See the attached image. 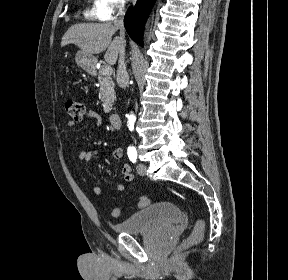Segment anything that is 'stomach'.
Instances as JSON below:
<instances>
[{
	"label": "stomach",
	"instance_id": "stomach-1",
	"mask_svg": "<svg viewBox=\"0 0 288 280\" xmlns=\"http://www.w3.org/2000/svg\"><path fill=\"white\" fill-rule=\"evenodd\" d=\"M76 63L83 69L92 71L95 68L97 59L91 54H88L82 50L76 53Z\"/></svg>",
	"mask_w": 288,
	"mask_h": 280
}]
</instances>
